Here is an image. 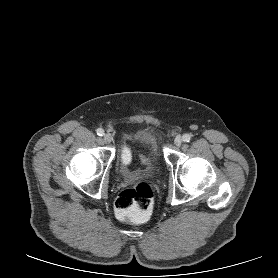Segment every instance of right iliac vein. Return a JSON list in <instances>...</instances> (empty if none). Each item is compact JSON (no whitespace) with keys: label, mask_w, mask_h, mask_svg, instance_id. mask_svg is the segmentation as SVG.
Returning a JSON list of instances; mask_svg holds the SVG:
<instances>
[{"label":"right iliac vein","mask_w":278,"mask_h":278,"mask_svg":"<svg viewBox=\"0 0 278 278\" xmlns=\"http://www.w3.org/2000/svg\"><path fill=\"white\" fill-rule=\"evenodd\" d=\"M103 140L105 143H110L112 141V138L109 134H104Z\"/></svg>","instance_id":"obj_1"}]
</instances>
